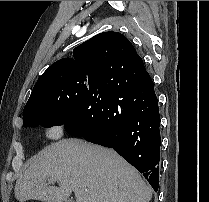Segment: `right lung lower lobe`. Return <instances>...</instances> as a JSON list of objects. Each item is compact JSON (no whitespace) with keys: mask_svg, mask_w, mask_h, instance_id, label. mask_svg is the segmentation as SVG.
<instances>
[{"mask_svg":"<svg viewBox=\"0 0 209 202\" xmlns=\"http://www.w3.org/2000/svg\"><path fill=\"white\" fill-rule=\"evenodd\" d=\"M160 115L154 84L141 58L126 71L112 69L97 78L81 110L64 123L68 134L113 148L159 187Z\"/></svg>","mask_w":209,"mask_h":202,"instance_id":"1","label":"right lung lower lobe"}]
</instances>
